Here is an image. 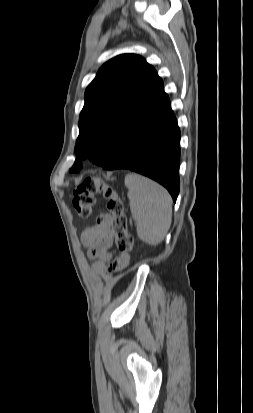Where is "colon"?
<instances>
[{"instance_id":"colon-1","label":"colon","mask_w":253,"mask_h":413,"mask_svg":"<svg viewBox=\"0 0 253 413\" xmlns=\"http://www.w3.org/2000/svg\"><path fill=\"white\" fill-rule=\"evenodd\" d=\"M100 193L107 201L108 214L112 219V234L120 257L129 256L133 248V238L127 229L124 204L118 192L103 179L86 177L76 187L72 203L77 215L81 218L91 216L95 194Z\"/></svg>"}]
</instances>
